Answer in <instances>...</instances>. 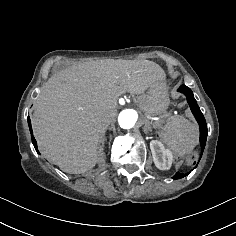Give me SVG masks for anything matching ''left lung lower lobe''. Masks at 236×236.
Returning a JSON list of instances; mask_svg holds the SVG:
<instances>
[{
  "label": "left lung lower lobe",
  "mask_w": 236,
  "mask_h": 236,
  "mask_svg": "<svg viewBox=\"0 0 236 236\" xmlns=\"http://www.w3.org/2000/svg\"><path fill=\"white\" fill-rule=\"evenodd\" d=\"M178 91L183 93L186 98H187V101L190 105V108H191V111L192 113L194 114L196 120L198 121L199 123V128H200V144H201V153H203V150L205 148V144H206V140H207V124H206V121H205V118L193 96V92L191 91L190 88H188L187 86L185 85H182L178 88ZM202 154L200 155V158H201ZM196 164V162H194V165ZM197 166V165H196ZM196 166L194 168H196ZM193 168V169H194ZM190 173L187 172L185 174H181V173H176L174 176H173V179H180V178H183L185 176H187L188 174Z\"/></svg>",
  "instance_id": "obj_1"
}]
</instances>
